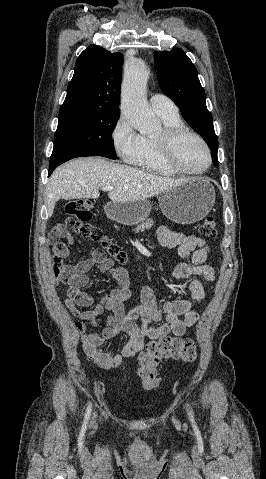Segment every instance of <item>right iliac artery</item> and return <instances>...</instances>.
Instances as JSON below:
<instances>
[{
    "label": "right iliac artery",
    "mask_w": 266,
    "mask_h": 479,
    "mask_svg": "<svg viewBox=\"0 0 266 479\" xmlns=\"http://www.w3.org/2000/svg\"><path fill=\"white\" fill-rule=\"evenodd\" d=\"M91 404L88 405L87 407V410H86V414H85V420H84V423L86 424L90 418V415H91Z\"/></svg>",
    "instance_id": "obj_1"
}]
</instances>
